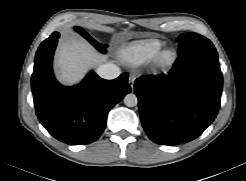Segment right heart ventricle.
Instances as JSON below:
<instances>
[{
  "label": "right heart ventricle",
  "mask_w": 246,
  "mask_h": 181,
  "mask_svg": "<svg viewBox=\"0 0 246 181\" xmlns=\"http://www.w3.org/2000/svg\"><path fill=\"white\" fill-rule=\"evenodd\" d=\"M162 47L163 42L158 39L140 40L124 47L119 56L130 65H139L152 60Z\"/></svg>",
  "instance_id": "1"
}]
</instances>
